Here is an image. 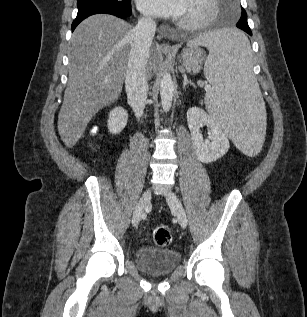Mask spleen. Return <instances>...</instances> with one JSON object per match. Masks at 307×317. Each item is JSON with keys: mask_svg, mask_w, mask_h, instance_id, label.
I'll return each instance as SVG.
<instances>
[{"mask_svg": "<svg viewBox=\"0 0 307 317\" xmlns=\"http://www.w3.org/2000/svg\"><path fill=\"white\" fill-rule=\"evenodd\" d=\"M244 29H212L188 46H205L204 74L211 85L205 96L211 118L233 139L239 155H262L265 107L251 72V49Z\"/></svg>", "mask_w": 307, "mask_h": 317, "instance_id": "3e777b00", "label": "spleen"}]
</instances>
